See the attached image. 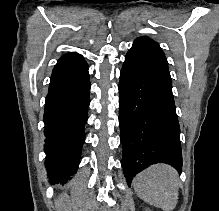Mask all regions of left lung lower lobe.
Here are the masks:
<instances>
[{"instance_id":"left-lung-lower-lobe-1","label":"left lung lower lobe","mask_w":219,"mask_h":211,"mask_svg":"<svg viewBox=\"0 0 219 211\" xmlns=\"http://www.w3.org/2000/svg\"><path fill=\"white\" fill-rule=\"evenodd\" d=\"M119 124L127 183L148 166L182 167L180 127L167 66L129 50L120 73Z\"/></svg>"}]
</instances>
